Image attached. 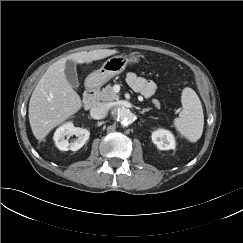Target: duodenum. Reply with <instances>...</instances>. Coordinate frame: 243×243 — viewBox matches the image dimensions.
Instances as JSON below:
<instances>
[{
    "label": "duodenum",
    "mask_w": 243,
    "mask_h": 243,
    "mask_svg": "<svg viewBox=\"0 0 243 243\" xmlns=\"http://www.w3.org/2000/svg\"><path fill=\"white\" fill-rule=\"evenodd\" d=\"M98 93H99V89L96 85L90 84L87 87L83 97V103L85 109H90L92 106L95 105V103L98 100Z\"/></svg>",
    "instance_id": "duodenum-1"
}]
</instances>
